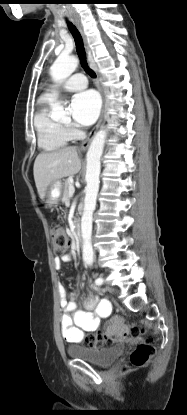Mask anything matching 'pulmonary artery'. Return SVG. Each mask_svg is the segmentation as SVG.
<instances>
[{
    "label": "pulmonary artery",
    "instance_id": "pulmonary-artery-1",
    "mask_svg": "<svg viewBox=\"0 0 187 415\" xmlns=\"http://www.w3.org/2000/svg\"><path fill=\"white\" fill-rule=\"evenodd\" d=\"M86 87V77L81 73L73 74L63 83V88L68 91L82 90Z\"/></svg>",
    "mask_w": 187,
    "mask_h": 415
}]
</instances>
